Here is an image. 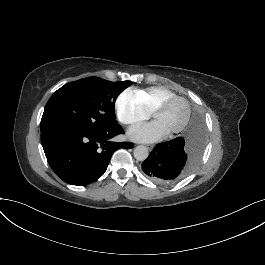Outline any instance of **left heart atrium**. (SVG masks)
<instances>
[{
	"mask_svg": "<svg viewBox=\"0 0 265 265\" xmlns=\"http://www.w3.org/2000/svg\"><path fill=\"white\" fill-rule=\"evenodd\" d=\"M167 131L156 122H150L133 127L128 131V137L143 142H151L166 135Z\"/></svg>",
	"mask_w": 265,
	"mask_h": 265,
	"instance_id": "1",
	"label": "left heart atrium"
}]
</instances>
